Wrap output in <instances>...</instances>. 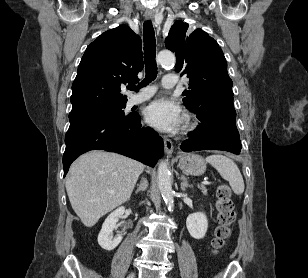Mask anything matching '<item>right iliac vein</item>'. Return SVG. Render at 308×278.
<instances>
[{
  "label": "right iliac vein",
  "instance_id": "right-iliac-vein-1",
  "mask_svg": "<svg viewBox=\"0 0 308 278\" xmlns=\"http://www.w3.org/2000/svg\"><path fill=\"white\" fill-rule=\"evenodd\" d=\"M127 278H135V272H131Z\"/></svg>",
  "mask_w": 308,
  "mask_h": 278
}]
</instances>
